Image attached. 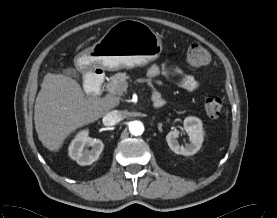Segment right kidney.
Returning a JSON list of instances; mask_svg holds the SVG:
<instances>
[{"label":"right kidney","instance_id":"obj_1","mask_svg":"<svg viewBox=\"0 0 277 218\" xmlns=\"http://www.w3.org/2000/svg\"><path fill=\"white\" fill-rule=\"evenodd\" d=\"M88 134V129L78 132L68 149L69 156L81 166L91 165L95 162L104 148L100 139L91 138ZM88 147H91V150Z\"/></svg>","mask_w":277,"mask_h":218}]
</instances>
